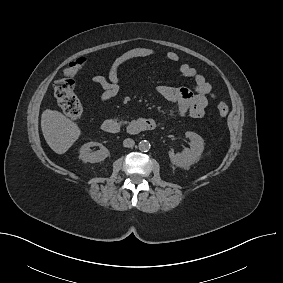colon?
<instances>
[{"label":"colon","instance_id":"colon-1","mask_svg":"<svg viewBox=\"0 0 283 283\" xmlns=\"http://www.w3.org/2000/svg\"><path fill=\"white\" fill-rule=\"evenodd\" d=\"M85 59L80 58L71 62L63 71V75L54 83V95L63 112L73 121L78 122L82 116V104L74 92V77L84 65ZM217 111L221 118H226L229 108L226 103L220 102Z\"/></svg>","mask_w":283,"mask_h":283}]
</instances>
